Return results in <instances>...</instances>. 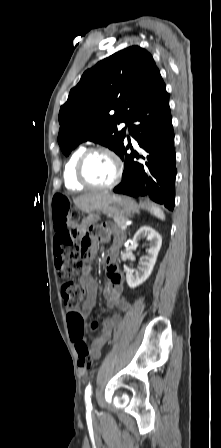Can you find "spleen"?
Masks as SVG:
<instances>
[{"mask_svg": "<svg viewBox=\"0 0 221 448\" xmlns=\"http://www.w3.org/2000/svg\"><path fill=\"white\" fill-rule=\"evenodd\" d=\"M149 211H150V213H151L152 215H154L155 217H157V218H159V219H161V220H164V219H165V214H164V212L161 210L160 207H158V206H151L150 209H149Z\"/></svg>", "mask_w": 221, "mask_h": 448, "instance_id": "spleen-1", "label": "spleen"}]
</instances>
